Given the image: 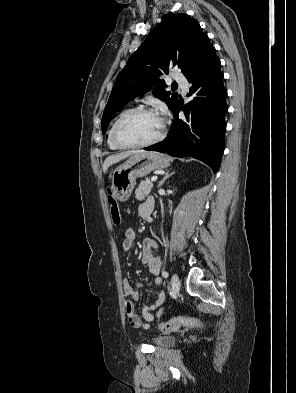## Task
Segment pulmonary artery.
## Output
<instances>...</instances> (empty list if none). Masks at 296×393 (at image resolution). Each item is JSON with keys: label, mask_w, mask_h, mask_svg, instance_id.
Returning <instances> with one entry per match:
<instances>
[{"label": "pulmonary artery", "mask_w": 296, "mask_h": 393, "mask_svg": "<svg viewBox=\"0 0 296 393\" xmlns=\"http://www.w3.org/2000/svg\"><path fill=\"white\" fill-rule=\"evenodd\" d=\"M175 81L180 85V87L183 90V93H186L187 88H188V81L184 76L181 75H175L174 77Z\"/></svg>", "instance_id": "pulmonary-artery-1"}]
</instances>
